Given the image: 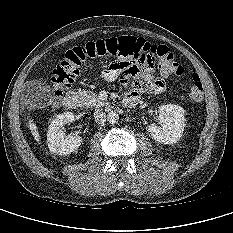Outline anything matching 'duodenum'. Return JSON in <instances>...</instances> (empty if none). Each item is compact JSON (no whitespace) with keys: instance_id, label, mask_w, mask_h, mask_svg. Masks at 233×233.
Returning a JSON list of instances; mask_svg holds the SVG:
<instances>
[{"instance_id":"obj_1","label":"duodenum","mask_w":233,"mask_h":233,"mask_svg":"<svg viewBox=\"0 0 233 233\" xmlns=\"http://www.w3.org/2000/svg\"><path fill=\"white\" fill-rule=\"evenodd\" d=\"M138 102V96L133 94H128L124 98V104L127 107H133ZM63 104L71 109H78L81 106V101L74 91H69L64 97Z\"/></svg>"}]
</instances>
